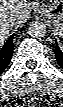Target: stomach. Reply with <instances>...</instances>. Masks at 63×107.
Segmentation results:
<instances>
[{
  "label": "stomach",
  "instance_id": "0dacf381",
  "mask_svg": "<svg viewBox=\"0 0 63 107\" xmlns=\"http://www.w3.org/2000/svg\"><path fill=\"white\" fill-rule=\"evenodd\" d=\"M34 12L52 21L56 31L60 34L63 33V0L37 4L34 7Z\"/></svg>",
  "mask_w": 63,
  "mask_h": 107
}]
</instances>
